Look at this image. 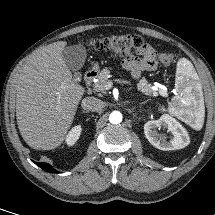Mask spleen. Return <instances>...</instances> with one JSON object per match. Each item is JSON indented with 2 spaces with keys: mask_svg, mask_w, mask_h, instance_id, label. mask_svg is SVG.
Returning a JSON list of instances; mask_svg holds the SVG:
<instances>
[{
  "mask_svg": "<svg viewBox=\"0 0 215 215\" xmlns=\"http://www.w3.org/2000/svg\"><path fill=\"white\" fill-rule=\"evenodd\" d=\"M197 74L191 62L181 58L177 63L175 86L179 94L172 98L169 113L190 126L200 129L205 107L202 94L197 90Z\"/></svg>",
  "mask_w": 215,
  "mask_h": 215,
  "instance_id": "spleen-1",
  "label": "spleen"
}]
</instances>
